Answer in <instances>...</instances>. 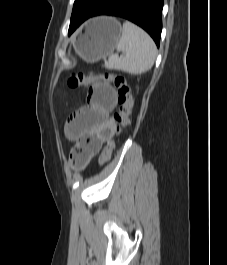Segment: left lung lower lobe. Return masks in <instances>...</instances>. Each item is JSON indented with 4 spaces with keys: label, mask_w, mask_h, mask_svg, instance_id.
Returning a JSON list of instances; mask_svg holds the SVG:
<instances>
[{
    "label": "left lung lower lobe",
    "mask_w": 227,
    "mask_h": 265,
    "mask_svg": "<svg viewBox=\"0 0 227 265\" xmlns=\"http://www.w3.org/2000/svg\"><path fill=\"white\" fill-rule=\"evenodd\" d=\"M163 0H105L88 18L98 15L118 16L139 25L159 46L162 30ZM86 18V19H88ZM69 28L70 35L82 22Z\"/></svg>",
    "instance_id": "0a47b994"
}]
</instances>
